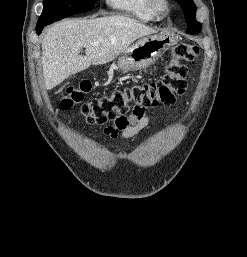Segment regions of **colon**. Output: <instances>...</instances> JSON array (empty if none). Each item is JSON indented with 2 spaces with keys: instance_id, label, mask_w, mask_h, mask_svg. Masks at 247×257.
Masks as SVG:
<instances>
[{
  "instance_id": "colon-1",
  "label": "colon",
  "mask_w": 247,
  "mask_h": 257,
  "mask_svg": "<svg viewBox=\"0 0 247 257\" xmlns=\"http://www.w3.org/2000/svg\"><path fill=\"white\" fill-rule=\"evenodd\" d=\"M198 54L197 46L189 43L178 44L174 47L160 79L135 83L91 99L81 107V114L90 124L103 125L112 121L120 126L126 125L130 110L133 113L136 109L143 110L167 103L176 95L183 94L187 88L185 63L193 61ZM90 90L91 84L88 81L68 87L60 96L61 107L70 109L74 104L82 102Z\"/></svg>"
}]
</instances>
